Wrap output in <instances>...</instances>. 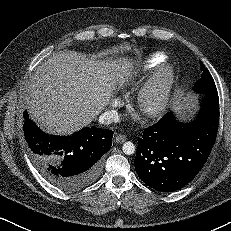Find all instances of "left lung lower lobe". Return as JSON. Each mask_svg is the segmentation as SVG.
Wrapping results in <instances>:
<instances>
[{"instance_id": "obj_1", "label": "left lung lower lobe", "mask_w": 231, "mask_h": 231, "mask_svg": "<svg viewBox=\"0 0 231 231\" xmlns=\"http://www.w3.org/2000/svg\"><path fill=\"white\" fill-rule=\"evenodd\" d=\"M218 124V93L204 94L200 112L190 123H180L172 112L163 116L139 139L134 161L139 178L162 192L187 185L206 163Z\"/></svg>"}]
</instances>
